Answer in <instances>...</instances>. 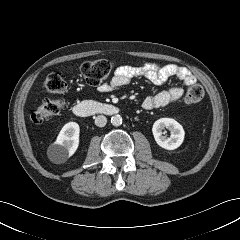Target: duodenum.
Returning a JSON list of instances; mask_svg holds the SVG:
<instances>
[{"label": "duodenum", "instance_id": "obj_1", "mask_svg": "<svg viewBox=\"0 0 240 240\" xmlns=\"http://www.w3.org/2000/svg\"><path fill=\"white\" fill-rule=\"evenodd\" d=\"M72 112L77 117H88L96 114L115 115L119 108L113 104L86 100L75 104Z\"/></svg>", "mask_w": 240, "mask_h": 240}]
</instances>
